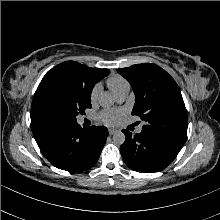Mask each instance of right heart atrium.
I'll list each match as a JSON object with an SVG mask.
<instances>
[{
	"mask_svg": "<svg viewBox=\"0 0 220 220\" xmlns=\"http://www.w3.org/2000/svg\"><path fill=\"white\" fill-rule=\"evenodd\" d=\"M99 92H100V85L96 84L92 90H91V93H90V101L92 103H94L97 98H98V95H99Z\"/></svg>",
	"mask_w": 220,
	"mask_h": 220,
	"instance_id": "d8ad5b80",
	"label": "right heart atrium"
}]
</instances>
